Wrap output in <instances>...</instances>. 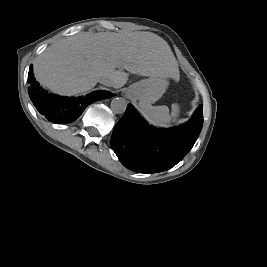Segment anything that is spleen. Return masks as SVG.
<instances>
[{"label":"spleen","mask_w":267,"mask_h":267,"mask_svg":"<svg viewBox=\"0 0 267 267\" xmlns=\"http://www.w3.org/2000/svg\"><path fill=\"white\" fill-rule=\"evenodd\" d=\"M139 111L141 115L149 122V124L167 128L171 122L174 121L179 115V106L174 103L171 106V114L169 108L165 105L152 106L151 104L139 102Z\"/></svg>","instance_id":"3e777b00"}]
</instances>
